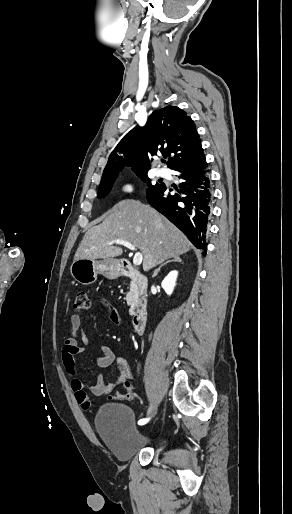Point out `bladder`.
<instances>
[{"label": "bladder", "instance_id": "bladder-1", "mask_svg": "<svg viewBox=\"0 0 292 514\" xmlns=\"http://www.w3.org/2000/svg\"><path fill=\"white\" fill-rule=\"evenodd\" d=\"M95 428L105 445L119 460H130L145 448L160 449L165 439L142 434L135 424L131 407L118 403L103 405L96 414Z\"/></svg>", "mask_w": 292, "mask_h": 514}]
</instances>
